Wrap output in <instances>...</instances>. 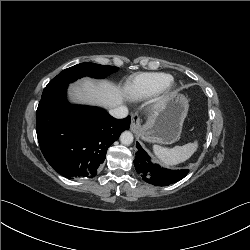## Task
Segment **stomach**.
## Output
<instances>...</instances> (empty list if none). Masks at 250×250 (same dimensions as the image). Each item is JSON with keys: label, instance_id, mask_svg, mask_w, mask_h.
Instances as JSON below:
<instances>
[{"label": "stomach", "instance_id": "stomach-1", "mask_svg": "<svg viewBox=\"0 0 250 250\" xmlns=\"http://www.w3.org/2000/svg\"><path fill=\"white\" fill-rule=\"evenodd\" d=\"M188 107V100L184 95H171L141 127L139 131L140 137L148 142L174 143L181 135Z\"/></svg>", "mask_w": 250, "mask_h": 250}]
</instances>
